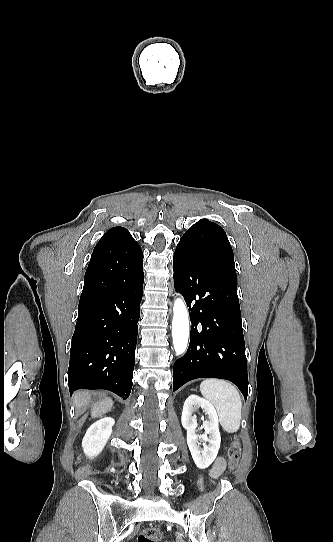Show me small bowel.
<instances>
[{
  "label": "small bowel",
  "instance_id": "c3829d8e",
  "mask_svg": "<svg viewBox=\"0 0 333 542\" xmlns=\"http://www.w3.org/2000/svg\"><path fill=\"white\" fill-rule=\"evenodd\" d=\"M226 469V461L222 458V457H218L215 459L211 469H210V472H209V476H210V479L211 481H215L217 480L221 475L222 473L225 471ZM198 486L200 488V490L203 489V477L200 476L199 479H198Z\"/></svg>",
  "mask_w": 333,
  "mask_h": 542
}]
</instances>
